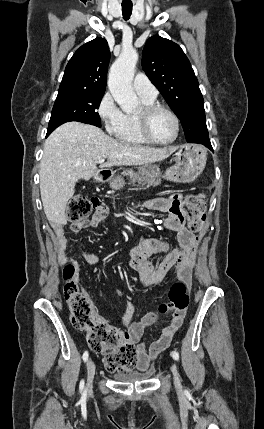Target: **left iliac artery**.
I'll return each instance as SVG.
<instances>
[{
  "mask_svg": "<svg viewBox=\"0 0 264 429\" xmlns=\"http://www.w3.org/2000/svg\"><path fill=\"white\" fill-rule=\"evenodd\" d=\"M172 357H173V359H174V360H176V361H177V360H179V353H178L177 351H173V352H172Z\"/></svg>",
  "mask_w": 264,
  "mask_h": 429,
  "instance_id": "1",
  "label": "left iliac artery"
}]
</instances>
